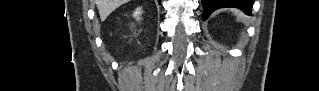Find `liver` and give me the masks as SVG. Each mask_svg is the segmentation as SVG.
Instances as JSON below:
<instances>
[{
	"label": "liver",
	"mask_w": 319,
	"mask_h": 91,
	"mask_svg": "<svg viewBox=\"0 0 319 91\" xmlns=\"http://www.w3.org/2000/svg\"><path fill=\"white\" fill-rule=\"evenodd\" d=\"M129 0H95L101 20H105L115 9Z\"/></svg>",
	"instance_id": "1"
}]
</instances>
